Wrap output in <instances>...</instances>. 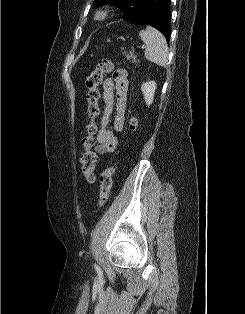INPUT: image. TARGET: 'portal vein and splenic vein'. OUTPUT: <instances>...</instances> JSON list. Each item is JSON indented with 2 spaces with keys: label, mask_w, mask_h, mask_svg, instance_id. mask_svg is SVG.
I'll list each match as a JSON object with an SVG mask.
<instances>
[{
  "label": "portal vein and splenic vein",
  "mask_w": 245,
  "mask_h": 314,
  "mask_svg": "<svg viewBox=\"0 0 245 314\" xmlns=\"http://www.w3.org/2000/svg\"><path fill=\"white\" fill-rule=\"evenodd\" d=\"M145 48H146V46H145V45H142V46H141V49H145Z\"/></svg>",
  "instance_id": "portal-vein-and-splenic-vein-1"
}]
</instances>
